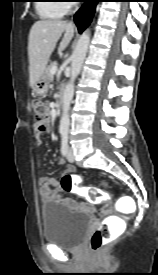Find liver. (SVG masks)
I'll use <instances>...</instances> for the list:
<instances>
[{"label":"liver","mask_w":158,"mask_h":275,"mask_svg":"<svg viewBox=\"0 0 158 275\" xmlns=\"http://www.w3.org/2000/svg\"><path fill=\"white\" fill-rule=\"evenodd\" d=\"M74 31L73 23L60 20H39L32 25L28 41L29 79L32 88L44 74L49 58L62 33L64 32V37L58 50L59 53L70 43Z\"/></svg>","instance_id":"liver-1"}]
</instances>
